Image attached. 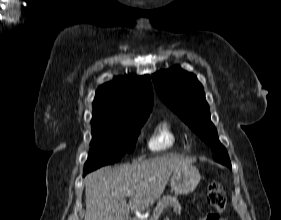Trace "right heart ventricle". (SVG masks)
Listing matches in <instances>:
<instances>
[{"label": "right heart ventricle", "mask_w": 281, "mask_h": 220, "mask_svg": "<svg viewBox=\"0 0 281 220\" xmlns=\"http://www.w3.org/2000/svg\"><path fill=\"white\" fill-rule=\"evenodd\" d=\"M180 136L167 120H160L152 134L150 135L147 145L153 152H162L178 148Z\"/></svg>", "instance_id": "obj_1"}]
</instances>
